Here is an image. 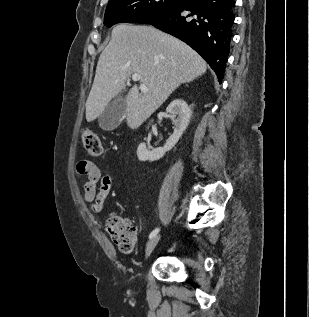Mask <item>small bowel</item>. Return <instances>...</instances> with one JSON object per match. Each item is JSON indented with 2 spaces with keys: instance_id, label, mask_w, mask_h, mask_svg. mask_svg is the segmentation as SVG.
<instances>
[{
  "instance_id": "small-bowel-1",
  "label": "small bowel",
  "mask_w": 309,
  "mask_h": 317,
  "mask_svg": "<svg viewBox=\"0 0 309 317\" xmlns=\"http://www.w3.org/2000/svg\"><path fill=\"white\" fill-rule=\"evenodd\" d=\"M76 173L87 178L83 186L85 201L92 204L94 212L102 211L105 199L112 187V178L109 175H102L93 162L84 159L77 162Z\"/></svg>"
}]
</instances>
